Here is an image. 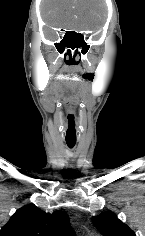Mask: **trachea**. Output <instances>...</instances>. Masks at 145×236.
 I'll use <instances>...</instances> for the list:
<instances>
[{"label":"trachea","instance_id":"trachea-1","mask_svg":"<svg viewBox=\"0 0 145 236\" xmlns=\"http://www.w3.org/2000/svg\"><path fill=\"white\" fill-rule=\"evenodd\" d=\"M69 148H73L75 146V142H66Z\"/></svg>","mask_w":145,"mask_h":236}]
</instances>
